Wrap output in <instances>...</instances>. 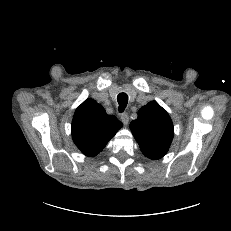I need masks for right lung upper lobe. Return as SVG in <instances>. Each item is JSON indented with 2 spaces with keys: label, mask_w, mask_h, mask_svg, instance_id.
Returning <instances> with one entry per match:
<instances>
[{
  "label": "right lung upper lobe",
  "mask_w": 231,
  "mask_h": 231,
  "mask_svg": "<svg viewBox=\"0 0 231 231\" xmlns=\"http://www.w3.org/2000/svg\"><path fill=\"white\" fill-rule=\"evenodd\" d=\"M122 127V123L93 99L85 100L75 111L72 138L79 150L93 157L103 150L108 141Z\"/></svg>",
  "instance_id": "1"
}]
</instances>
